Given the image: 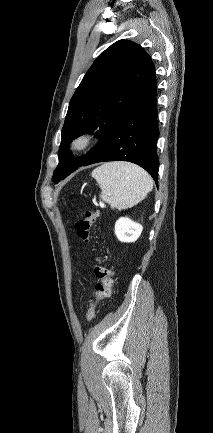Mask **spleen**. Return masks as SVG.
<instances>
[{
  "instance_id": "1",
  "label": "spleen",
  "mask_w": 213,
  "mask_h": 433,
  "mask_svg": "<svg viewBox=\"0 0 213 433\" xmlns=\"http://www.w3.org/2000/svg\"><path fill=\"white\" fill-rule=\"evenodd\" d=\"M92 177L99 184L100 197L112 209L133 207L153 188L150 175L141 167L127 162H110L97 167Z\"/></svg>"
}]
</instances>
